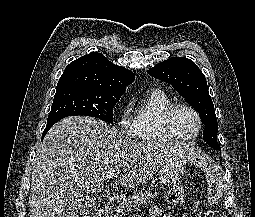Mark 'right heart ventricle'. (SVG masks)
Here are the masks:
<instances>
[{
    "instance_id": "obj_1",
    "label": "right heart ventricle",
    "mask_w": 255,
    "mask_h": 217,
    "mask_svg": "<svg viewBox=\"0 0 255 217\" xmlns=\"http://www.w3.org/2000/svg\"><path fill=\"white\" fill-rule=\"evenodd\" d=\"M173 99L161 89H151L135 111L134 136L143 141L172 140L162 122L164 110L173 104Z\"/></svg>"
}]
</instances>
